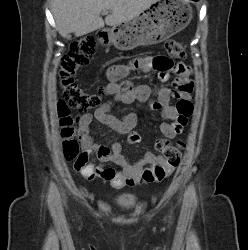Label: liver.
<instances>
[{
  "label": "liver",
  "instance_id": "6515ba94",
  "mask_svg": "<svg viewBox=\"0 0 248 250\" xmlns=\"http://www.w3.org/2000/svg\"><path fill=\"white\" fill-rule=\"evenodd\" d=\"M158 0H52V13L59 34L77 37L91 33L104 25L117 26L133 20ZM103 11H111L105 18Z\"/></svg>",
  "mask_w": 248,
  "mask_h": 250
}]
</instances>
